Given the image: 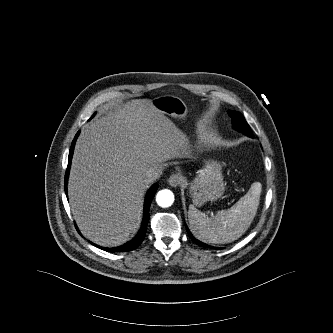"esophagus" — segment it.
I'll return each instance as SVG.
<instances>
[{"instance_id":"obj_1","label":"esophagus","mask_w":333,"mask_h":333,"mask_svg":"<svg viewBox=\"0 0 333 333\" xmlns=\"http://www.w3.org/2000/svg\"><path fill=\"white\" fill-rule=\"evenodd\" d=\"M182 176L179 174H172L169 179H168V183L170 186L172 187H177L182 183Z\"/></svg>"}]
</instances>
